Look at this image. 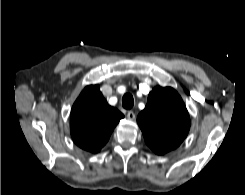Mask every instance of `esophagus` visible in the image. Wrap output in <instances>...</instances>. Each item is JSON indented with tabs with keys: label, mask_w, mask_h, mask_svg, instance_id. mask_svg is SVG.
Instances as JSON below:
<instances>
[{
	"label": "esophagus",
	"mask_w": 245,
	"mask_h": 195,
	"mask_svg": "<svg viewBox=\"0 0 245 195\" xmlns=\"http://www.w3.org/2000/svg\"><path fill=\"white\" fill-rule=\"evenodd\" d=\"M127 118L130 120H134L135 119V113L133 111H128L127 112Z\"/></svg>",
	"instance_id": "obj_1"
}]
</instances>
